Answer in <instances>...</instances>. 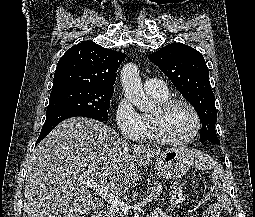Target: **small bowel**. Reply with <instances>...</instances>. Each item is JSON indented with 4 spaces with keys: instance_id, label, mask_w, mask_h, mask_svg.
<instances>
[{
    "instance_id": "obj_1",
    "label": "small bowel",
    "mask_w": 255,
    "mask_h": 217,
    "mask_svg": "<svg viewBox=\"0 0 255 217\" xmlns=\"http://www.w3.org/2000/svg\"><path fill=\"white\" fill-rule=\"evenodd\" d=\"M221 210H222L221 207L219 208L217 206H211L208 209L206 217H215ZM151 217H172V216L165 214L161 209L156 208L153 210Z\"/></svg>"
}]
</instances>
